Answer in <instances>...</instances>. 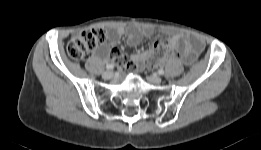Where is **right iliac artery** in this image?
I'll use <instances>...</instances> for the list:
<instances>
[{
    "label": "right iliac artery",
    "mask_w": 261,
    "mask_h": 150,
    "mask_svg": "<svg viewBox=\"0 0 261 150\" xmlns=\"http://www.w3.org/2000/svg\"><path fill=\"white\" fill-rule=\"evenodd\" d=\"M114 68V65L113 64H107L106 65V69L107 70H112Z\"/></svg>",
    "instance_id": "right-iliac-artery-1"
}]
</instances>
